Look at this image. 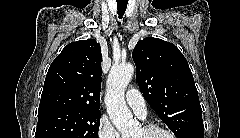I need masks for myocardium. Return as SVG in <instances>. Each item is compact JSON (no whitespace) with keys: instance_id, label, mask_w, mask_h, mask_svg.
Here are the masks:
<instances>
[{"instance_id":"1","label":"myocardium","mask_w":240,"mask_h":138,"mask_svg":"<svg viewBox=\"0 0 240 138\" xmlns=\"http://www.w3.org/2000/svg\"><path fill=\"white\" fill-rule=\"evenodd\" d=\"M146 133H153V132H162L166 135L167 138H173V134L167 128L160 126L158 124L149 123L143 126L142 128Z\"/></svg>"}]
</instances>
